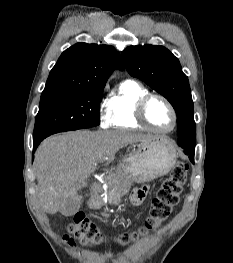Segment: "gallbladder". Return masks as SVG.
<instances>
[{
	"label": "gallbladder",
	"mask_w": 233,
	"mask_h": 263,
	"mask_svg": "<svg viewBox=\"0 0 233 263\" xmlns=\"http://www.w3.org/2000/svg\"><path fill=\"white\" fill-rule=\"evenodd\" d=\"M81 204L82 202L79 197L70 199L65 207L60 210V213L65 217L73 216L79 211Z\"/></svg>",
	"instance_id": "1"
}]
</instances>
